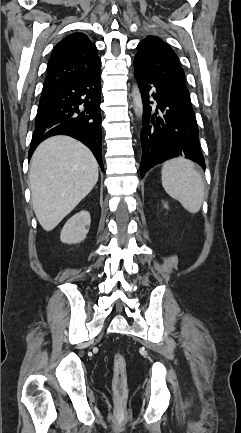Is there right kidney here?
<instances>
[{"instance_id": "right-kidney-1", "label": "right kidney", "mask_w": 241, "mask_h": 433, "mask_svg": "<svg viewBox=\"0 0 241 433\" xmlns=\"http://www.w3.org/2000/svg\"><path fill=\"white\" fill-rule=\"evenodd\" d=\"M91 223L90 213L82 210L73 215L64 225L60 239L66 244H77L86 238Z\"/></svg>"}]
</instances>
